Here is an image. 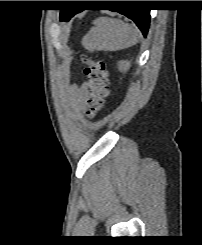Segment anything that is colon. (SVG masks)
<instances>
[{
	"label": "colon",
	"mask_w": 202,
	"mask_h": 245,
	"mask_svg": "<svg viewBox=\"0 0 202 245\" xmlns=\"http://www.w3.org/2000/svg\"><path fill=\"white\" fill-rule=\"evenodd\" d=\"M84 66V73L87 77V109L88 116H95L101 113L106 106V99L110 92V81L106 64L101 60H94L88 57L81 58Z\"/></svg>",
	"instance_id": "1"
}]
</instances>
